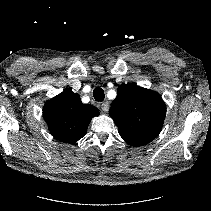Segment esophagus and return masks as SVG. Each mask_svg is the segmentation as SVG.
<instances>
[{
	"label": "esophagus",
	"instance_id": "obj_1",
	"mask_svg": "<svg viewBox=\"0 0 211 211\" xmlns=\"http://www.w3.org/2000/svg\"><path fill=\"white\" fill-rule=\"evenodd\" d=\"M109 107H110V105H109L108 102H103V103L101 104V108H102V110H103L104 112H108Z\"/></svg>",
	"mask_w": 211,
	"mask_h": 211
}]
</instances>
